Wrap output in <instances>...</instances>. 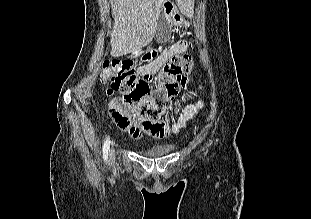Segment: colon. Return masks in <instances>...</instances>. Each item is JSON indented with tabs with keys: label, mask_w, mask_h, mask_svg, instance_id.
<instances>
[{
	"label": "colon",
	"mask_w": 311,
	"mask_h": 219,
	"mask_svg": "<svg viewBox=\"0 0 311 219\" xmlns=\"http://www.w3.org/2000/svg\"><path fill=\"white\" fill-rule=\"evenodd\" d=\"M193 66L191 56L174 55L157 75L148 76L138 75L131 60L109 59L102 64L101 79L110 84L108 95L122 94V99H112L114 109L121 102L135 106L142 117L153 122L162 116L179 90L187 85V75Z\"/></svg>",
	"instance_id": "colon-1"
}]
</instances>
